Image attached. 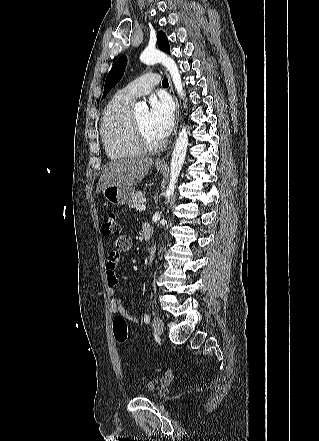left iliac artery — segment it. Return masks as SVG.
Masks as SVG:
<instances>
[{
    "mask_svg": "<svg viewBox=\"0 0 319 441\" xmlns=\"http://www.w3.org/2000/svg\"><path fill=\"white\" fill-rule=\"evenodd\" d=\"M144 321H145V323H149L150 322V316L148 314H145Z\"/></svg>",
    "mask_w": 319,
    "mask_h": 441,
    "instance_id": "obj_1",
    "label": "left iliac artery"
}]
</instances>
